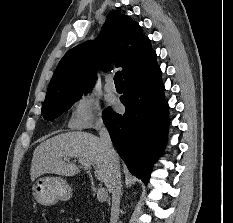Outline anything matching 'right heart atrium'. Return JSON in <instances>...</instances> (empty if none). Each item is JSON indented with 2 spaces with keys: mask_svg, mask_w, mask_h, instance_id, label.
Wrapping results in <instances>:
<instances>
[{
  "mask_svg": "<svg viewBox=\"0 0 233 223\" xmlns=\"http://www.w3.org/2000/svg\"><path fill=\"white\" fill-rule=\"evenodd\" d=\"M103 125L100 101L90 92L81 94L68 120L71 129L98 128Z\"/></svg>",
  "mask_w": 233,
  "mask_h": 223,
  "instance_id": "right-heart-atrium-1",
  "label": "right heart atrium"
}]
</instances>
